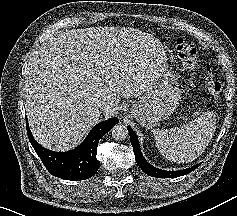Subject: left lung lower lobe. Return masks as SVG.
Instances as JSON below:
<instances>
[{"instance_id": "0a47b994", "label": "left lung lower lobe", "mask_w": 237, "mask_h": 216, "mask_svg": "<svg viewBox=\"0 0 237 216\" xmlns=\"http://www.w3.org/2000/svg\"><path fill=\"white\" fill-rule=\"evenodd\" d=\"M129 135H130V141L133 147V151L135 154V159L141 170L146 173L147 175L151 177H157V178H174V177H179L182 175H186L193 170H195L198 166L201 164H198L194 167L185 169V170H179V171H164L158 168L153 167L150 165L143 157L139 142L137 140L135 132L131 129V127H128Z\"/></svg>"}]
</instances>
